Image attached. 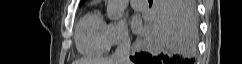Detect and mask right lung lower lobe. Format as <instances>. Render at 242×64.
<instances>
[{"label":"right lung lower lobe","instance_id":"1","mask_svg":"<svg viewBox=\"0 0 242 64\" xmlns=\"http://www.w3.org/2000/svg\"><path fill=\"white\" fill-rule=\"evenodd\" d=\"M160 48L155 55L136 53V64H190L197 42L195 0H156Z\"/></svg>","mask_w":242,"mask_h":64}]
</instances>
